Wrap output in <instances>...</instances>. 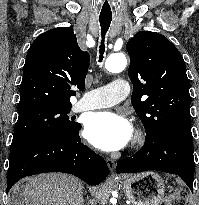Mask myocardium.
Here are the masks:
<instances>
[{"label": "myocardium", "instance_id": "myocardium-1", "mask_svg": "<svg viewBox=\"0 0 199 205\" xmlns=\"http://www.w3.org/2000/svg\"><path fill=\"white\" fill-rule=\"evenodd\" d=\"M145 142V133L141 130L137 131L134 137L135 146H142Z\"/></svg>", "mask_w": 199, "mask_h": 205}]
</instances>
